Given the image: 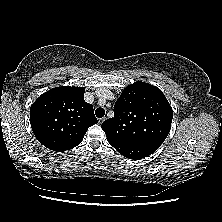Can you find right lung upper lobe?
Segmentation results:
<instances>
[{
    "mask_svg": "<svg viewBox=\"0 0 222 222\" xmlns=\"http://www.w3.org/2000/svg\"><path fill=\"white\" fill-rule=\"evenodd\" d=\"M84 87L61 86L43 93L30 108L35 137L56 152L79 145L88 128L96 124L93 106L84 101Z\"/></svg>",
    "mask_w": 222,
    "mask_h": 222,
    "instance_id": "1",
    "label": "right lung upper lobe"
}]
</instances>
